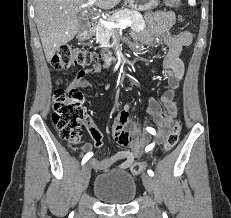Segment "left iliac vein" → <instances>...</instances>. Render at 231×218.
<instances>
[{
	"label": "left iliac vein",
	"mask_w": 231,
	"mask_h": 218,
	"mask_svg": "<svg viewBox=\"0 0 231 218\" xmlns=\"http://www.w3.org/2000/svg\"><path fill=\"white\" fill-rule=\"evenodd\" d=\"M143 184L145 186V189L150 193L153 194L155 191V182L152 176L148 174L142 175ZM156 209L158 210V207L156 206Z\"/></svg>",
	"instance_id": "left-iliac-vein-1"
}]
</instances>
